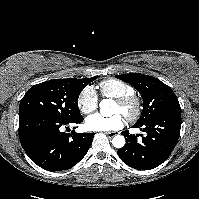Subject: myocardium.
Here are the masks:
<instances>
[{
  "label": "myocardium",
  "mask_w": 199,
  "mask_h": 199,
  "mask_svg": "<svg viewBox=\"0 0 199 199\" xmlns=\"http://www.w3.org/2000/svg\"><path fill=\"white\" fill-rule=\"evenodd\" d=\"M115 102L121 107L122 113L130 121H134L141 114L142 101L135 93L116 98Z\"/></svg>",
  "instance_id": "f54148a6"
}]
</instances>
